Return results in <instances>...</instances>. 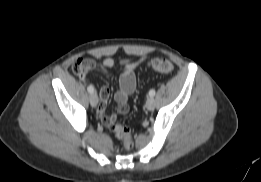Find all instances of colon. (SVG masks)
Segmentation results:
<instances>
[{"label": "colon", "instance_id": "colon-1", "mask_svg": "<svg viewBox=\"0 0 261 182\" xmlns=\"http://www.w3.org/2000/svg\"><path fill=\"white\" fill-rule=\"evenodd\" d=\"M148 64L153 70L164 74H169L174 69L173 63L167 58H152ZM72 70L77 76L85 78L88 75L89 68L85 60L78 59L73 64ZM109 129L121 140L126 150H130L133 147L132 133L128 127L113 120L109 124Z\"/></svg>", "mask_w": 261, "mask_h": 182}]
</instances>
